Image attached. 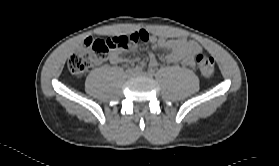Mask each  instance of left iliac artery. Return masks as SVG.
Returning <instances> with one entry per match:
<instances>
[{"label":"left iliac artery","instance_id":"obj_1","mask_svg":"<svg viewBox=\"0 0 279 166\" xmlns=\"http://www.w3.org/2000/svg\"><path fill=\"white\" fill-rule=\"evenodd\" d=\"M148 74L153 76V75H155V71L153 69H149L148 70Z\"/></svg>","mask_w":279,"mask_h":166}]
</instances>
